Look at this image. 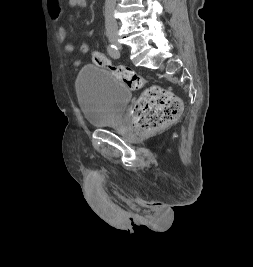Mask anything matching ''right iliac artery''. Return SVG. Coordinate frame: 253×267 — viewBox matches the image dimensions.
Returning <instances> with one entry per match:
<instances>
[{
  "label": "right iliac artery",
  "instance_id": "82829eb1",
  "mask_svg": "<svg viewBox=\"0 0 253 267\" xmlns=\"http://www.w3.org/2000/svg\"><path fill=\"white\" fill-rule=\"evenodd\" d=\"M107 51H108V54L114 59H118L120 57V52L118 48L113 44L108 45Z\"/></svg>",
  "mask_w": 253,
  "mask_h": 267
}]
</instances>
